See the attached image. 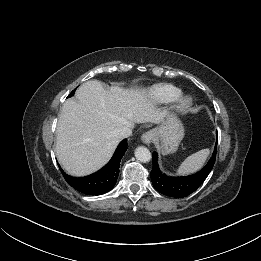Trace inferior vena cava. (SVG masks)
<instances>
[{"mask_svg": "<svg viewBox=\"0 0 261 261\" xmlns=\"http://www.w3.org/2000/svg\"><path fill=\"white\" fill-rule=\"evenodd\" d=\"M132 129H133V127H131V126H124V127H122L119 130V133H118L119 137L121 139H123V138H127V137L131 136Z\"/></svg>", "mask_w": 261, "mask_h": 261, "instance_id": "obj_1", "label": "inferior vena cava"}]
</instances>
